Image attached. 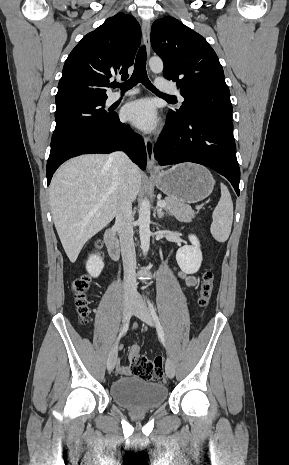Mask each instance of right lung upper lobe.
<instances>
[{"mask_svg":"<svg viewBox=\"0 0 289 465\" xmlns=\"http://www.w3.org/2000/svg\"><path fill=\"white\" fill-rule=\"evenodd\" d=\"M137 20L124 13L108 18L85 35L65 61L55 98L56 105L75 100L107 99L109 78L128 77L140 44Z\"/></svg>","mask_w":289,"mask_h":465,"instance_id":"right-lung-upper-lobe-1","label":"right lung upper lobe"}]
</instances>
